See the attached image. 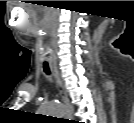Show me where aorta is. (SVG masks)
I'll use <instances>...</instances> for the list:
<instances>
[{
  "label": "aorta",
  "instance_id": "aorta-1",
  "mask_svg": "<svg viewBox=\"0 0 134 123\" xmlns=\"http://www.w3.org/2000/svg\"><path fill=\"white\" fill-rule=\"evenodd\" d=\"M40 112L47 116L61 118L68 113V109L60 103L49 102L41 105Z\"/></svg>",
  "mask_w": 134,
  "mask_h": 123
}]
</instances>
